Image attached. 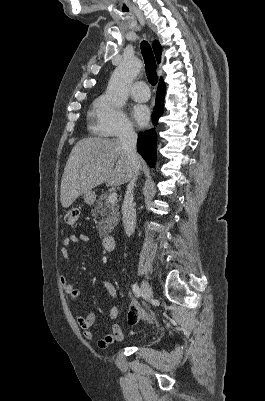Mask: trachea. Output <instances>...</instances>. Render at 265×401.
Masks as SVG:
<instances>
[{
    "mask_svg": "<svg viewBox=\"0 0 265 401\" xmlns=\"http://www.w3.org/2000/svg\"><path fill=\"white\" fill-rule=\"evenodd\" d=\"M141 53L145 61V70L148 81L151 85H156L158 76L156 73V60L148 42H141Z\"/></svg>",
    "mask_w": 265,
    "mask_h": 401,
    "instance_id": "obj_1",
    "label": "trachea"
}]
</instances>
